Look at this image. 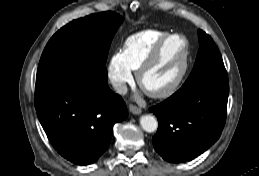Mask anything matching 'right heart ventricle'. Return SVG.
Instances as JSON below:
<instances>
[{
	"mask_svg": "<svg viewBox=\"0 0 259 176\" xmlns=\"http://www.w3.org/2000/svg\"><path fill=\"white\" fill-rule=\"evenodd\" d=\"M168 31L159 29H145L126 38L122 47V56L125 64L131 71H137L154 46Z\"/></svg>",
	"mask_w": 259,
	"mask_h": 176,
	"instance_id": "e07e8e85",
	"label": "right heart ventricle"
}]
</instances>
